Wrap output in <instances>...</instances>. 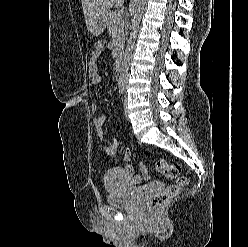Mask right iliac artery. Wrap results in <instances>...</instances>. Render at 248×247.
<instances>
[{"mask_svg":"<svg viewBox=\"0 0 248 247\" xmlns=\"http://www.w3.org/2000/svg\"><path fill=\"white\" fill-rule=\"evenodd\" d=\"M123 92H124V87L121 86V87L119 88V93H120V94H123Z\"/></svg>","mask_w":248,"mask_h":247,"instance_id":"1","label":"right iliac artery"}]
</instances>
